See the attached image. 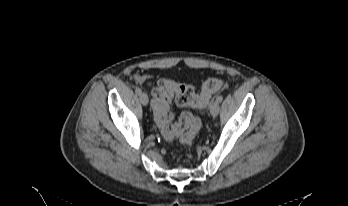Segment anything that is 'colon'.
Instances as JSON below:
<instances>
[{
    "instance_id": "5ec220e1",
    "label": "colon",
    "mask_w": 348,
    "mask_h": 206,
    "mask_svg": "<svg viewBox=\"0 0 348 206\" xmlns=\"http://www.w3.org/2000/svg\"><path fill=\"white\" fill-rule=\"evenodd\" d=\"M226 87L225 81L217 78L208 79L202 87L200 95L190 85L179 84L170 80H162L153 91L152 106L155 121L162 136L168 140L180 137L183 144H191L200 130L201 122L190 112H183L177 124H172L173 114L170 103L173 98L181 107L204 108L212 95ZM184 131H186L184 133Z\"/></svg>"
}]
</instances>
